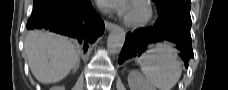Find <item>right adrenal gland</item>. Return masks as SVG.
I'll return each mask as SVG.
<instances>
[{"label":"right adrenal gland","instance_id":"2a0ac1e0","mask_svg":"<svg viewBox=\"0 0 228 90\" xmlns=\"http://www.w3.org/2000/svg\"><path fill=\"white\" fill-rule=\"evenodd\" d=\"M79 65H80V60H78V62H77V64H76V66L74 67L73 72H76V71L78 70Z\"/></svg>","mask_w":228,"mask_h":90}]
</instances>
